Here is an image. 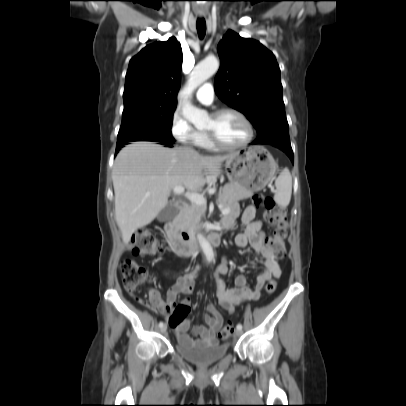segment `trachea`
Returning <instances> with one entry per match:
<instances>
[{"label":"trachea","instance_id":"obj_1","mask_svg":"<svg viewBox=\"0 0 406 406\" xmlns=\"http://www.w3.org/2000/svg\"><path fill=\"white\" fill-rule=\"evenodd\" d=\"M197 31L200 39H203L205 33H206V22L204 19H197Z\"/></svg>","mask_w":406,"mask_h":406}]
</instances>
